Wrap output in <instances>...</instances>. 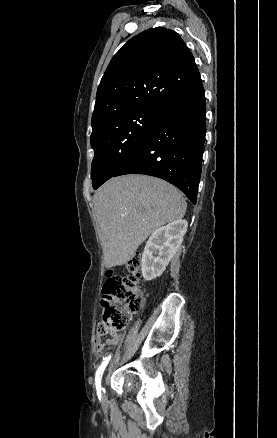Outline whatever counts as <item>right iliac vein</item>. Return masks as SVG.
Returning <instances> with one entry per match:
<instances>
[{
  "instance_id": "1",
  "label": "right iliac vein",
  "mask_w": 277,
  "mask_h": 438,
  "mask_svg": "<svg viewBox=\"0 0 277 438\" xmlns=\"http://www.w3.org/2000/svg\"><path fill=\"white\" fill-rule=\"evenodd\" d=\"M103 392H104V388L102 389V395H103Z\"/></svg>"
}]
</instances>
